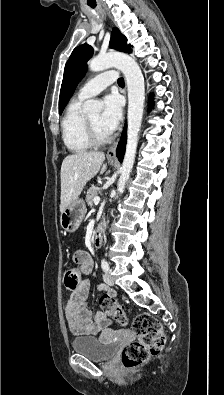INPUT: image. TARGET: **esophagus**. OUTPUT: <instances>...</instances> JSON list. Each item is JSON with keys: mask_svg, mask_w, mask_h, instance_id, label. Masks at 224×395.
I'll return each mask as SVG.
<instances>
[{"mask_svg": "<svg viewBox=\"0 0 224 395\" xmlns=\"http://www.w3.org/2000/svg\"><path fill=\"white\" fill-rule=\"evenodd\" d=\"M118 141L114 142L111 147L108 149L107 151V158L108 159H115L116 158V150H117V146H118Z\"/></svg>", "mask_w": 224, "mask_h": 395, "instance_id": "esophagus-1", "label": "esophagus"}]
</instances>
